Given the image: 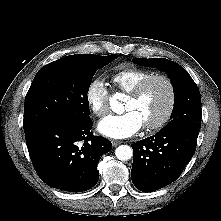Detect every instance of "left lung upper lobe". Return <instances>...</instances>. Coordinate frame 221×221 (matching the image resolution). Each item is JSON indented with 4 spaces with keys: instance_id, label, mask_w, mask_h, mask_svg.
<instances>
[{
    "instance_id": "obj_1",
    "label": "left lung upper lobe",
    "mask_w": 221,
    "mask_h": 221,
    "mask_svg": "<svg viewBox=\"0 0 221 221\" xmlns=\"http://www.w3.org/2000/svg\"><path fill=\"white\" fill-rule=\"evenodd\" d=\"M142 66L154 67L165 71L174 86L175 102L172 120L163 128L178 126L201 127L202 109L199 89L188 72L174 61L165 58H133Z\"/></svg>"
}]
</instances>
